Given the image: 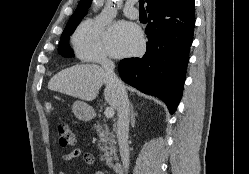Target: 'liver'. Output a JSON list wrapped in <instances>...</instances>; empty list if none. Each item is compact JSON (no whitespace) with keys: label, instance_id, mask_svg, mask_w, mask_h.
<instances>
[{"label":"liver","instance_id":"liver-1","mask_svg":"<svg viewBox=\"0 0 249 174\" xmlns=\"http://www.w3.org/2000/svg\"><path fill=\"white\" fill-rule=\"evenodd\" d=\"M103 85L106 102L117 109L116 89L105 70L96 64L74 65L58 72L48 82V89L92 101Z\"/></svg>","mask_w":249,"mask_h":174}]
</instances>
